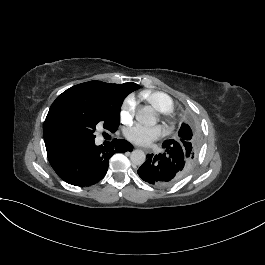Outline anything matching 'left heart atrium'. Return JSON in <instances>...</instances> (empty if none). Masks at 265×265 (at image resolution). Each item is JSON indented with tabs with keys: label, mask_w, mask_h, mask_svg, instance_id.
<instances>
[{
	"label": "left heart atrium",
	"mask_w": 265,
	"mask_h": 265,
	"mask_svg": "<svg viewBox=\"0 0 265 265\" xmlns=\"http://www.w3.org/2000/svg\"><path fill=\"white\" fill-rule=\"evenodd\" d=\"M164 134L161 126H152L144 124H135L126 130L125 136L132 142L141 145L150 144L152 141L160 138Z\"/></svg>",
	"instance_id": "39dd6f15"
}]
</instances>
